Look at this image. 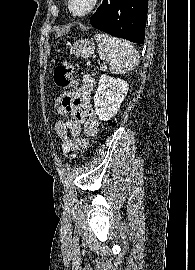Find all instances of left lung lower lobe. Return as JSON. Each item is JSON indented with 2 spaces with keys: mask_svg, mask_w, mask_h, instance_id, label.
<instances>
[{
  "mask_svg": "<svg viewBox=\"0 0 195 270\" xmlns=\"http://www.w3.org/2000/svg\"><path fill=\"white\" fill-rule=\"evenodd\" d=\"M148 0H103L90 24L103 32L143 44Z\"/></svg>",
  "mask_w": 195,
  "mask_h": 270,
  "instance_id": "1",
  "label": "left lung lower lobe"
}]
</instances>
